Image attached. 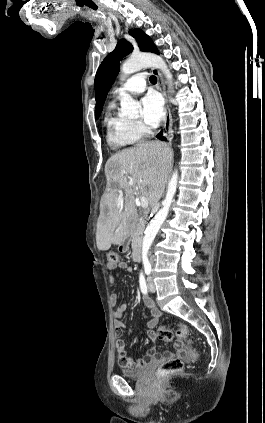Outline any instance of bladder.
<instances>
[{
	"label": "bladder",
	"instance_id": "1",
	"mask_svg": "<svg viewBox=\"0 0 265 423\" xmlns=\"http://www.w3.org/2000/svg\"><path fill=\"white\" fill-rule=\"evenodd\" d=\"M148 367H149L148 365H144V366L139 367V368H122L120 370V373L124 377L139 378L146 372Z\"/></svg>",
	"mask_w": 265,
	"mask_h": 423
}]
</instances>
